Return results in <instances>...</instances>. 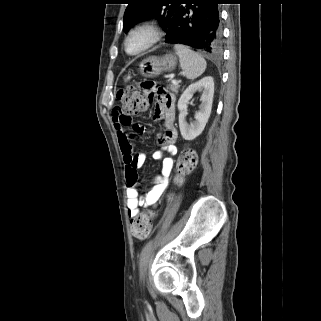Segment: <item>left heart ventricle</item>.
Returning <instances> with one entry per match:
<instances>
[{
    "mask_svg": "<svg viewBox=\"0 0 321 321\" xmlns=\"http://www.w3.org/2000/svg\"><path fill=\"white\" fill-rule=\"evenodd\" d=\"M148 40L146 33H138L131 37L128 42V49L131 52L137 51L142 48Z\"/></svg>",
    "mask_w": 321,
    "mask_h": 321,
    "instance_id": "left-heart-ventricle-1",
    "label": "left heart ventricle"
}]
</instances>
